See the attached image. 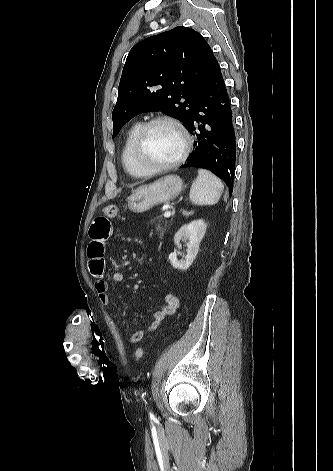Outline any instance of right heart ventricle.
Masks as SVG:
<instances>
[{"instance_id": "right-heart-ventricle-1", "label": "right heart ventricle", "mask_w": 333, "mask_h": 471, "mask_svg": "<svg viewBox=\"0 0 333 471\" xmlns=\"http://www.w3.org/2000/svg\"><path fill=\"white\" fill-rule=\"evenodd\" d=\"M142 125L143 123L141 122H135L129 126L125 132L121 149L122 166L125 172L134 178L144 177L147 175L136 166L133 159L134 141Z\"/></svg>"}]
</instances>
